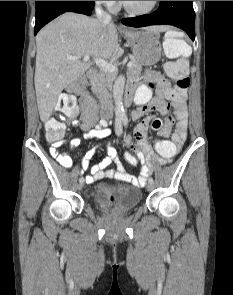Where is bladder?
Returning <instances> with one entry per match:
<instances>
[{"label": "bladder", "mask_w": 233, "mask_h": 295, "mask_svg": "<svg viewBox=\"0 0 233 295\" xmlns=\"http://www.w3.org/2000/svg\"><path fill=\"white\" fill-rule=\"evenodd\" d=\"M118 197V202L112 205L114 212H125L136 207L141 199L142 193L138 188L129 185H117L113 188Z\"/></svg>", "instance_id": "1"}]
</instances>
